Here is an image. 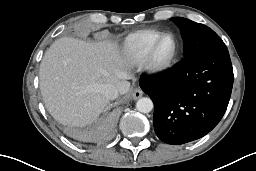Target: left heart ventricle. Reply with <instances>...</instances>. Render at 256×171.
Segmentation results:
<instances>
[{
    "label": "left heart ventricle",
    "instance_id": "obj_1",
    "mask_svg": "<svg viewBox=\"0 0 256 171\" xmlns=\"http://www.w3.org/2000/svg\"><path fill=\"white\" fill-rule=\"evenodd\" d=\"M173 51V41L171 38L164 39L156 51V57L158 60H166L169 58Z\"/></svg>",
    "mask_w": 256,
    "mask_h": 171
}]
</instances>
